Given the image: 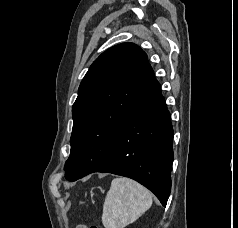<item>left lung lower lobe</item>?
<instances>
[{
  "mask_svg": "<svg viewBox=\"0 0 238 228\" xmlns=\"http://www.w3.org/2000/svg\"><path fill=\"white\" fill-rule=\"evenodd\" d=\"M172 142L170 113L153 72L110 154L91 171L67 180L76 181L94 172L129 177L152 191L166 206L171 190Z\"/></svg>",
  "mask_w": 238,
  "mask_h": 228,
  "instance_id": "left-lung-lower-lobe-1",
  "label": "left lung lower lobe"
}]
</instances>
